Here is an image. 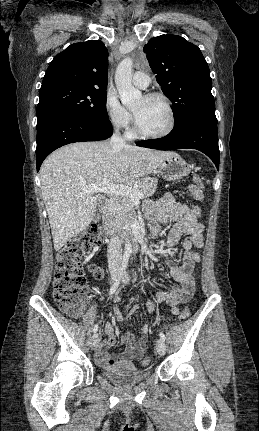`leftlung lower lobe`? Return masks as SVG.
I'll list each match as a JSON object with an SVG mask.
<instances>
[{
  "label": "left lung lower lobe",
  "mask_w": 259,
  "mask_h": 431,
  "mask_svg": "<svg viewBox=\"0 0 259 431\" xmlns=\"http://www.w3.org/2000/svg\"><path fill=\"white\" fill-rule=\"evenodd\" d=\"M138 146L159 149H197L206 154L219 170L217 121L193 117L178 124L165 137L136 143Z\"/></svg>",
  "instance_id": "left-lung-lower-lobe-1"
}]
</instances>
